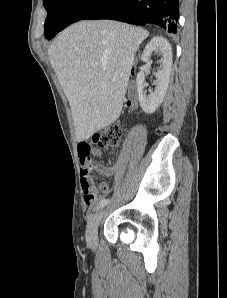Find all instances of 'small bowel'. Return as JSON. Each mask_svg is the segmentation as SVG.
Returning a JSON list of instances; mask_svg holds the SVG:
<instances>
[{"label": "small bowel", "mask_w": 227, "mask_h": 298, "mask_svg": "<svg viewBox=\"0 0 227 298\" xmlns=\"http://www.w3.org/2000/svg\"><path fill=\"white\" fill-rule=\"evenodd\" d=\"M78 158H80V162L82 165V178L81 185L83 190H85V186L89 187L91 190L98 194L97 189L92 184V179L90 177V173L92 171L103 174L105 176H113L117 171V166H106L100 163H93L91 158L93 155H101L102 151L100 150V146H89V142H78ZM110 191L109 185L107 183H102L99 186V192L102 195H107Z\"/></svg>", "instance_id": "c3829d8e"}]
</instances>
